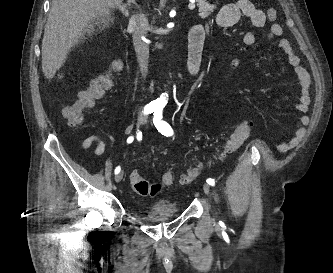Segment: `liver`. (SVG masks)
Here are the masks:
<instances>
[{"label":"liver","mask_w":333,"mask_h":273,"mask_svg":"<svg viewBox=\"0 0 333 273\" xmlns=\"http://www.w3.org/2000/svg\"><path fill=\"white\" fill-rule=\"evenodd\" d=\"M123 0H53L42 40V71L52 79L72 47L78 45L95 25L107 27L111 10ZM62 77V76H61Z\"/></svg>","instance_id":"liver-1"}]
</instances>
